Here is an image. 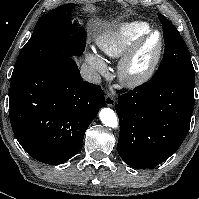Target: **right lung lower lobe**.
Segmentation results:
<instances>
[{
	"instance_id": "98d812e1",
	"label": "right lung lower lobe",
	"mask_w": 199,
	"mask_h": 199,
	"mask_svg": "<svg viewBox=\"0 0 199 199\" xmlns=\"http://www.w3.org/2000/svg\"><path fill=\"white\" fill-rule=\"evenodd\" d=\"M106 105L100 86L83 81L74 60L54 54L11 80L14 135L34 159L61 164L77 154L85 131Z\"/></svg>"
}]
</instances>
